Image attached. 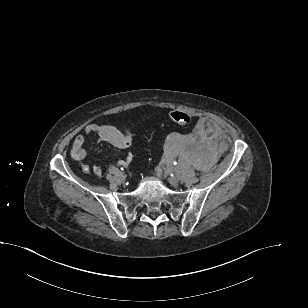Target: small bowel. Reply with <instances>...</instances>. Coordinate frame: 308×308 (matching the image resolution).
I'll list each match as a JSON object with an SVG mask.
<instances>
[{"label":"small bowel","mask_w":308,"mask_h":308,"mask_svg":"<svg viewBox=\"0 0 308 308\" xmlns=\"http://www.w3.org/2000/svg\"><path fill=\"white\" fill-rule=\"evenodd\" d=\"M96 135L100 140L105 141L118 149H127L132 144V134L128 130H120L112 125L107 124H90L88 125L84 133L75 137L71 156L76 160L85 172L92 170L93 174L100 176L102 174V168L99 165H94L92 168L84 162L86 152L84 150V144L88 135ZM134 159V155L129 153L125 158L120 159L118 164L121 166L129 165Z\"/></svg>","instance_id":"c3829d8e"}]
</instances>
